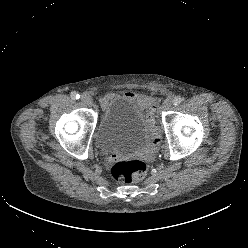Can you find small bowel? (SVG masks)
<instances>
[{
	"instance_id": "small-bowel-1",
	"label": "small bowel",
	"mask_w": 248,
	"mask_h": 248,
	"mask_svg": "<svg viewBox=\"0 0 248 248\" xmlns=\"http://www.w3.org/2000/svg\"><path fill=\"white\" fill-rule=\"evenodd\" d=\"M129 98H131L133 101H135L136 103H138L139 105L142 106H149L151 105L152 101L151 98L145 95H141V94H135V93H127L126 94ZM112 94L107 95L106 97H104L101 100V104L102 106H106L108 101L111 99Z\"/></svg>"
}]
</instances>
